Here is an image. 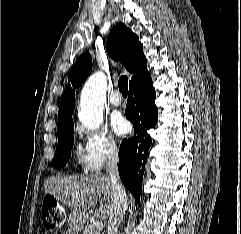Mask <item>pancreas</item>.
<instances>
[{
	"instance_id": "cf45deb5",
	"label": "pancreas",
	"mask_w": 241,
	"mask_h": 234,
	"mask_svg": "<svg viewBox=\"0 0 241 234\" xmlns=\"http://www.w3.org/2000/svg\"><path fill=\"white\" fill-rule=\"evenodd\" d=\"M82 232V234H101V230L96 229L92 224L86 225Z\"/></svg>"
}]
</instances>
